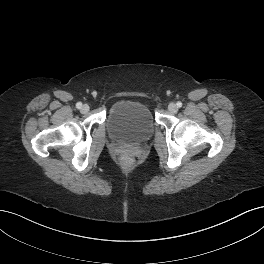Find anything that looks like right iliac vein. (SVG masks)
Wrapping results in <instances>:
<instances>
[{"label": "right iliac vein", "instance_id": "1", "mask_svg": "<svg viewBox=\"0 0 264 264\" xmlns=\"http://www.w3.org/2000/svg\"><path fill=\"white\" fill-rule=\"evenodd\" d=\"M89 111V106L87 104L83 105L82 108H81V112L82 113H86Z\"/></svg>", "mask_w": 264, "mask_h": 264}]
</instances>
